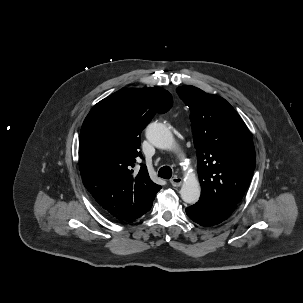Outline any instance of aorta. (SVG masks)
<instances>
[{
    "mask_svg": "<svg viewBox=\"0 0 303 303\" xmlns=\"http://www.w3.org/2000/svg\"><path fill=\"white\" fill-rule=\"evenodd\" d=\"M146 138L155 147L160 149H172L174 147V137L169 128L159 122L150 123L146 128ZM181 198L188 204H194L199 200L201 188L195 175L184 178L180 190Z\"/></svg>",
    "mask_w": 303,
    "mask_h": 303,
    "instance_id": "1",
    "label": "aorta"
}]
</instances>
